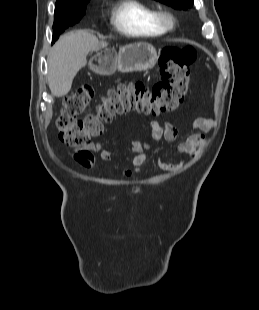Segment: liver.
<instances>
[{
    "label": "liver",
    "mask_w": 259,
    "mask_h": 310,
    "mask_svg": "<svg viewBox=\"0 0 259 310\" xmlns=\"http://www.w3.org/2000/svg\"><path fill=\"white\" fill-rule=\"evenodd\" d=\"M107 45L86 30L72 31L61 36L47 57L51 93L56 97L67 95L74 77L87 63V54Z\"/></svg>",
    "instance_id": "1"
}]
</instances>
